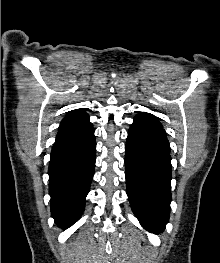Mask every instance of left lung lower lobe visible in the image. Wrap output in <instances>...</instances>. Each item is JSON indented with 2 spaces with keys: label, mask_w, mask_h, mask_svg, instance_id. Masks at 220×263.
<instances>
[{
  "label": "left lung lower lobe",
  "mask_w": 220,
  "mask_h": 263,
  "mask_svg": "<svg viewBox=\"0 0 220 263\" xmlns=\"http://www.w3.org/2000/svg\"><path fill=\"white\" fill-rule=\"evenodd\" d=\"M127 195L132 210L148 231L164 230L170 214L171 157L162 126L135 117L126 142Z\"/></svg>",
  "instance_id": "1"
}]
</instances>
